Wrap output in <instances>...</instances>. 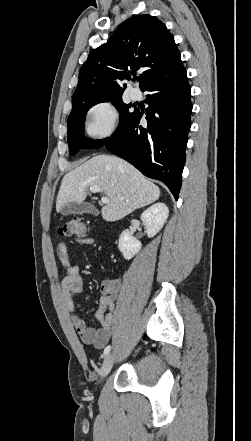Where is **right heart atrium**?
<instances>
[{"label":"right heart atrium","instance_id":"obj_1","mask_svg":"<svg viewBox=\"0 0 251 441\" xmlns=\"http://www.w3.org/2000/svg\"><path fill=\"white\" fill-rule=\"evenodd\" d=\"M118 112L110 101H101L91 106L86 114V132L93 139H104L117 127Z\"/></svg>","mask_w":251,"mask_h":441}]
</instances>
